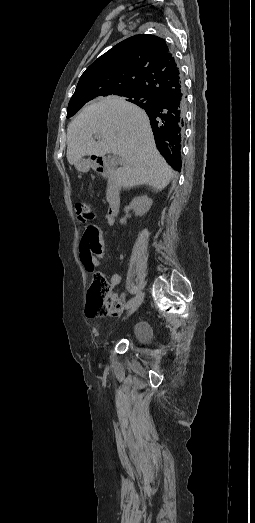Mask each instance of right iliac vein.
<instances>
[{"instance_id": "1", "label": "right iliac vein", "mask_w": 255, "mask_h": 523, "mask_svg": "<svg viewBox=\"0 0 255 523\" xmlns=\"http://www.w3.org/2000/svg\"><path fill=\"white\" fill-rule=\"evenodd\" d=\"M143 299H144V294H143L142 292L139 293V294L134 298V301H133L132 305H131L130 308H129V312H128L127 317L130 316L132 313H134V312L138 309V307H139L140 304L142 303Z\"/></svg>"}]
</instances>
